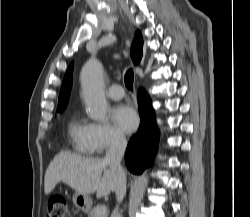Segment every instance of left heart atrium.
Returning a JSON list of instances; mask_svg holds the SVG:
<instances>
[{
	"mask_svg": "<svg viewBox=\"0 0 250 217\" xmlns=\"http://www.w3.org/2000/svg\"><path fill=\"white\" fill-rule=\"evenodd\" d=\"M111 118L115 125L125 132L133 131L138 125L137 115L128 105L121 104L113 108Z\"/></svg>",
	"mask_w": 250,
	"mask_h": 217,
	"instance_id": "1",
	"label": "left heart atrium"
}]
</instances>
